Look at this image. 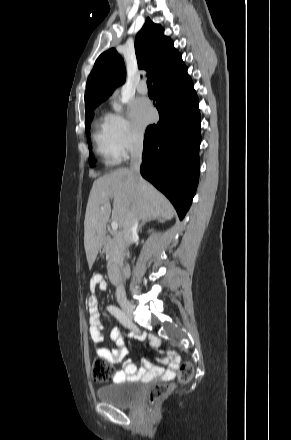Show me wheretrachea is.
Wrapping results in <instances>:
<instances>
[{"mask_svg":"<svg viewBox=\"0 0 291 440\" xmlns=\"http://www.w3.org/2000/svg\"><path fill=\"white\" fill-rule=\"evenodd\" d=\"M147 86H148V88H153L152 87V79L151 78L147 79Z\"/></svg>","mask_w":291,"mask_h":440,"instance_id":"3493384b","label":"trachea"}]
</instances>
